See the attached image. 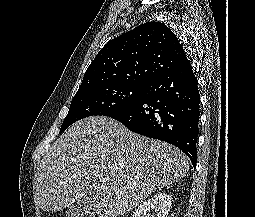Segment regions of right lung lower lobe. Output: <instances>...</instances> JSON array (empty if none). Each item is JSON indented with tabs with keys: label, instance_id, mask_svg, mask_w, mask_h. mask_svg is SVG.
<instances>
[{
	"label": "right lung lower lobe",
	"instance_id": "obj_1",
	"mask_svg": "<svg viewBox=\"0 0 255 217\" xmlns=\"http://www.w3.org/2000/svg\"><path fill=\"white\" fill-rule=\"evenodd\" d=\"M200 94L189 63L146 85L130 106L110 112L129 130L177 146L196 166Z\"/></svg>",
	"mask_w": 255,
	"mask_h": 217
}]
</instances>
